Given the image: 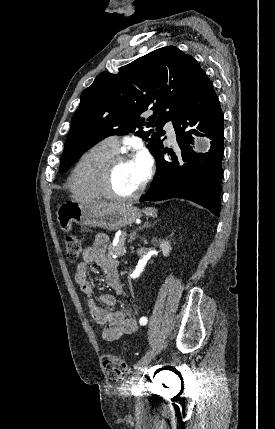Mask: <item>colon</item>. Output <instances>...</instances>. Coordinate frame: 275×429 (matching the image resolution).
<instances>
[{"instance_id": "1", "label": "colon", "mask_w": 275, "mask_h": 429, "mask_svg": "<svg viewBox=\"0 0 275 429\" xmlns=\"http://www.w3.org/2000/svg\"><path fill=\"white\" fill-rule=\"evenodd\" d=\"M65 250L68 260L75 261L83 250V242L80 238L69 235L65 238ZM126 368L124 358L107 355L103 360V370L108 378L117 381L122 377Z\"/></svg>"}]
</instances>
